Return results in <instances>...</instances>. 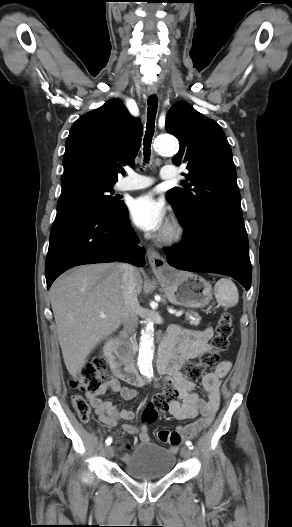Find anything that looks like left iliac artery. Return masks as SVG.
Segmentation results:
<instances>
[{"label":"left iliac artery","instance_id":"1","mask_svg":"<svg viewBox=\"0 0 292 527\" xmlns=\"http://www.w3.org/2000/svg\"><path fill=\"white\" fill-rule=\"evenodd\" d=\"M186 446H188L190 449L193 448L191 441H186Z\"/></svg>","mask_w":292,"mask_h":527}]
</instances>
